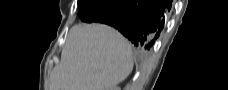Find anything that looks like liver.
<instances>
[{"label":"liver","instance_id":"6515ba94","mask_svg":"<svg viewBox=\"0 0 228 90\" xmlns=\"http://www.w3.org/2000/svg\"><path fill=\"white\" fill-rule=\"evenodd\" d=\"M133 69L130 43L101 24L73 26L60 64L50 76V90H110Z\"/></svg>","mask_w":228,"mask_h":90}]
</instances>
